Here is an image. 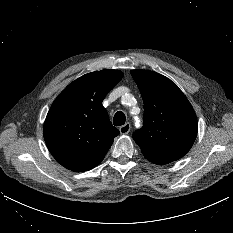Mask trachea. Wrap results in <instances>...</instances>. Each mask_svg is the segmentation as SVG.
I'll use <instances>...</instances> for the list:
<instances>
[{
  "instance_id": "trachea-1",
  "label": "trachea",
  "mask_w": 233,
  "mask_h": 233,
  "mask_svg": "<svg viewBox=\"0 0 233 233\" xmlns=\"http://www.w3.org/2000/svg\"><path fill=\"white\" fill-rule=\"evenodd\" d=\"M125 121H126L125 114L122 111L116 112V114L114 115V118H113L114 125L115 126L124 125Z\"/></svg>"
}]
</instances>
